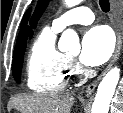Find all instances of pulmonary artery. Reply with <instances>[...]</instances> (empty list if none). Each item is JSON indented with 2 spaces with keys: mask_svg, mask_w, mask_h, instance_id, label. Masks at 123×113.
Segmentation results:
<instances>
[{
  "mask_svg": "<svg viewBox=\"0 0 123 113\" xmlns=\"http://www.w3.org/2000/svg\"><path fill=\"white\" fill-rule=\"evenodd\" d=\"M94 21V14L89 7L77 6L74 7L52 22V27L57 31H61L72 24L87 25Z\"/></svg>",
  "mask_w": 123,
  "mask_h": 113,
  "instance_id": "e3ab8cb5",
  "label": "pulmonary artery"
}]
</instances>
